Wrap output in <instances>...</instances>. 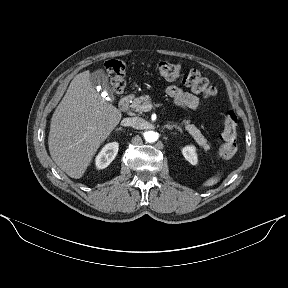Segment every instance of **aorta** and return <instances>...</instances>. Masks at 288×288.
Instances as JSON below:
<instances>
[{
    "label": "aorta",
    "instance_id": "aorta-1",
    "mask_svg": "<svg viewBox=\"0 0 288 288\" xmlns=\"http://www.w3.org/2000/svg\"><path fill=\"white\" fill-rule=\"evenodd\" d=\"M144 138L147 142L153 143V142L157 141L158 134L154 131H148L144 134Z\"/></svg>",
    "mask_w": 288,
    "mask_h": 288
}]
</instances>
